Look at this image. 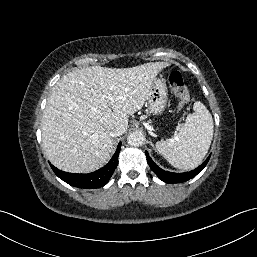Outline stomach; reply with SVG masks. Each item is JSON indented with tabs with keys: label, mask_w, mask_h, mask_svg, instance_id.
Returning <instances> with one entry per match:
<instances>
[{
	"label": "stomach",
	"mask_w": 257,
	"mask_h": 257,
	"mask_svg": "<svg viewBox=\"0 0 257 257\" xmlns=\"http://www.w3.org/2000/svg\"><path fill=\"white\" fill-rule=\"evenodd\" d=\"M166 82L163 78H155L149 89L147 101L150 112L154 115L162 114L168 99Z\"/></svg>",
	"instance_id": "obj_1"
}]
</instances>
